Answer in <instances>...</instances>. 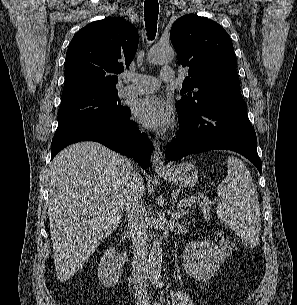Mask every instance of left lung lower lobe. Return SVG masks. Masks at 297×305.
Here are the masks:
<instances>
[{
    "instance_id": "0a47b994",
    "label": "left lung lower lobe",
    "mask_w": 297,
    "mask_h": 305,
    "mask_svg": "<svg viewBox=\"0 0 297 305\" xmlns=\"http://www.w3.org/2000/svg\"><path fill=\"white\" fill-rule=\"evenodd\" d=\"M179 113L180 129L166 147L168 160H179L192 153L227 149L240 153L262 172L257 138L247 116L240 90L206 102L193 112Z\"/></svg>"
}]
</instances>
